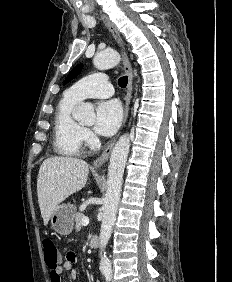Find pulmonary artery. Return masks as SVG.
Instances as JSON below:
<instances>
[{"instance_id":"e3ab8cb5","label":"pulmonary artery","mask_w":232,"mask_h":282,"mask_svg":"<svg viewBox=\"0 0 232 282\" xmlns=\"http://www.w3.org/2000/svg\"><path fill=\"white\" fill-rule=\"evenodd\" d=\"M66 93L81 101L85 98H108L113 95L114 88L106 74L94 73L76 82Z\"/></svg>"}]
</instances>
